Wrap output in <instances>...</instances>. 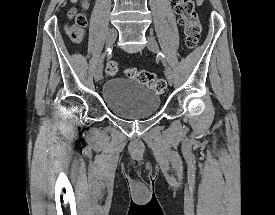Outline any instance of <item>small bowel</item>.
Wrapping results in <instances>:
<instances>
[{
    "label": "small bowel",
    "instance_id": "c3829d8e",
    "mask_svg": "<svg viewBox=\"0 0 275 215\" xmlns=\"http://www.w3.org/2000/svg\"><path fill=\"white\" fill-rule=\"evenodd\" d=\"M198 5H201L203 3V0H196Z\"/></svg>",
    "mask_w": 275,
    "mask_h": 215
}]
</instances>
